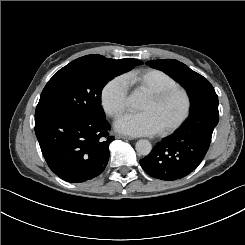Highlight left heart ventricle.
Instances as JSON below:
<instances>
[{"label":"left heart ventricle","mask_w":245,"mask_h":245,"mask_svg":"<svg viewBox=\"0 0 245 245\" xmlns=\"http://www.w3.org/2000/svg\"><path fill=\"white\" fill-rule=\"evenodd\" d=\"M182 109L183 101L178 95L161 104H157L152 97L145 94L140 111L151 112L162 128L176 119L181 113Z\"/></svg>","instance_id":"obj_1"}]
</instances>
